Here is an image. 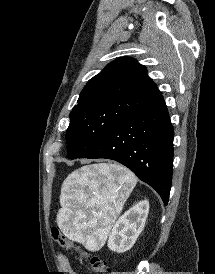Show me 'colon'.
Masks as SVG:
<instances>
[{"label":"colon","instance_id":"obj_1","mask_svg":"<svg viewBox=\"0 0 215 274\" xmlns=\"http://www.w3.org/2000/svg\"><path fill=\"white\" fill-rule=\"evenodd\" d=\"M52 235L54 240L64 248L74 247L73 243L56 227L52 228ZM81 256L87 258L88 255L81 252ZM91 269L97 274H112L111 270L107 267L106 261L99 256L89 257Z\"/></svg>","mask_w":215,"mask_h":274}]
</instances>
